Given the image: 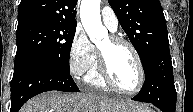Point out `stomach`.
I'll list each match as a JSON object with an SVG mask.
<instances>
[{
	"label": "stomach",
	"instance_id": "0dacf381",
	"mask_svg": "<svg viewBox=\"0 0 193 112\" xmlns=\"http://www.w3.org/2000/svg\"><path fill=\"white\" fill-rule=\"evenodd\" d=\"M122 112H152L149 108L145 107L142 104H138L135 107L128 108Z\"/></svg>",
	"mask_w": 193,
	"mask_h": 112
}]
</instances>
